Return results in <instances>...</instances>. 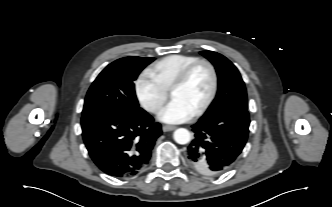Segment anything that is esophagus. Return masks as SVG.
I'll list each match as a JSON object with an SVG mask.
<instances>
[{
	"label": "esophagus",
	"instance_id": "esophagus-1",
	"mask_svg": "<svg viewBox=\"0 0 332 207\" xmlns=\"http://www.w3.org/2000/svg\"><path fill=\"white\" fill-rule=\"evenodd\" d=\"M174 129H176V127H175V126H171V125H164V126L162 127V130H163L164 132H169V131H172V130H174Z\"/></svg>",
	"mask_w": 332,
	"mask_h": 207
}]
</instances>
